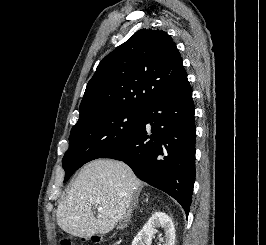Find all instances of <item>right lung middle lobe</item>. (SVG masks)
<instances>
[{"mask_svg": "<svg viewBox=\"0 0 266 245\" xmlns=\"http://www.w3.org/2000/svg\"><path fill=\"white\" fill-rule=\"evenodd\" d=\"M144 109L107 108L79 118L69 137L62 164L66 182L85 163L125 143L137 129Z\"/></svg>", "mask_w": 266, "mask_h": 245, "instance_id": "dd1d6c3e", "label": "right lung middle lobe"}]
</instances>
